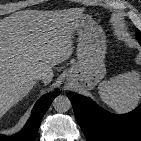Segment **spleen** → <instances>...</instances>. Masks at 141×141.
Returning a JSON list of instances; mask_svg holds the SVG:
<instances>
[{
    "label": "spleen",
    "instance_id": "spleen-1",
    "mask_svg": "<svg viewBox=\"0 0 141 141\" xmlns=\"http://www.w3.org/2000/svg\"><path fill=\"white\" fill-rule=\"evenodd\" d=\"M102 101L117 112H128L135 108L141 98V80L137 71L127 72L99 87Z\"/></svg>",
    "mask_w": 141,
    "mask_h": 141
}]
</instances>
